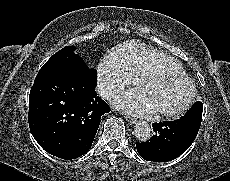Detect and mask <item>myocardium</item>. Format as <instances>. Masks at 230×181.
I'll return each mask as SVG.
<instances>
[{"instance_id": "obj_1", "label": "myocardium", "mask_w": 230, "mask_h": 181, "mask_svg": "<svg viewBox=\"0 0 230 181\" xmlns=\"http://www.w3.org/2000/svg\"><path fill=\"white\" fill-rule=\"evenodd\" d=\"M158 78H175V79L185 80L188 82L190 86V92H189L187 99L180 107L174 110H168V111L157 110L156 115L167 117V118H173V117H177L183 114L184 112H186L191 107L196 97L197 89H196V85L194 81L185 72H173L171 70L153 71V72L148 73L141 79V83L139 86L140 90L141 91L144 90L145 86L149 82L155 79H158Z\"/></svg>"}]
</instances>
